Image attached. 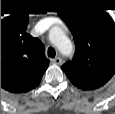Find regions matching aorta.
Segmentation results:
<instances>
[{"label":"aorta","mask_w":115,"mask_h":114,"mask_svg":"<svg viewBox=\"0 0 115 114\" xmlns=\"http://www.w3.org/2000/svg\"><path fill=\"white\" fill-rule=\"evenodd\" d=\"M50 36L62 53L70 52L72 50V43L62 29H53L50 33Z\"/></svg>","instance_id":"762f6f07"}]
</instances>
